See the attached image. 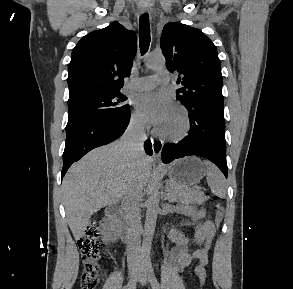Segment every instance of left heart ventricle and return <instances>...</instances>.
<instances>
[{"mask_svg": "<svg viewBox=\"0 0 293 289\" xmlns=\"http://www.w3.org/2000/svg\"><path fill=\"white\" fill-rule=\"evenodd\" d=\"M182 127V118L180 114L173 110L169 118L159 126V128L165 132V133H176L178 132Z\"/></svg>", "mask_w": 293, "mask_h": 289, "instance_id": "1", "label": "left heart ventricle"}]
</instances>
